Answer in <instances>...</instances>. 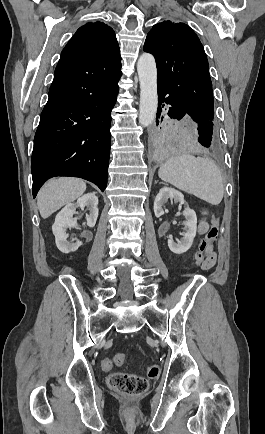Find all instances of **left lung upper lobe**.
<instances>
[{
    "instance_id": "5c2ea615",
    "label": "left lung upper lobe",
    "mask_w": 265,
    "mask_h": 434,
    "mask_svg": "<svg viewBox=\"0 0 265 434\" xmlns=\"http://www.w3.org/2000/svg\"><path fill=\"white\" fill-rule=\"evenodd\" d=\"M143 49L156 59L157 83L183 104L195 125H215L208 60L195 32L185 23L163 21L147 34Z\"/></svg>"
}]
</instances>
